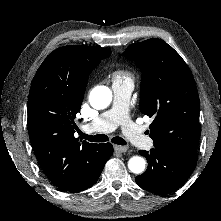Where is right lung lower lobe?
Segmentation results:
<instances>
[{
	"instance_id": "1",
	"label": "right lung lower lobe",
	"mask_w": 221,
	"mask_h": 221,
	"mask_svg": "<svg viewBox=\"0 0 221 221\" xmlns=\"http://www.w3.org/2000/svg\"><path fill=\"white\" fill-rule=\"evenodd\" d=\"M98 157L95 162V164L92 166L90 169V174L86 178V180L83 182L82 185H80L76 190L72 192H77L81 190H85L89 187H92L98 180L105 163L107 160L110 158V156L113 153V146L111 143H106V144H100V151L98 152Z\"/></svg>"
}]
</instances>
